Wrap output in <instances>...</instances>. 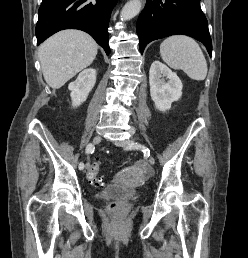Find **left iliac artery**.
I'll return each mask as SVG.
<instances>
[{
	"label": "left iliac artery",
	"instance_id": "obj_1",
	"mask_svg": "<svg viewBox=\"0 0 248 258\" xmlns=\"http://www.w3.org/2000/svg\"><path fill=\"white\" fill-rule=\"evenodd\" d=\"M137 148L141 149L144 154H146L148 156L150 155V150L146 146L138 144Z\"/></svg>",
	"mask_w": 248,
	"mask_h": 258
}]
</instances>
